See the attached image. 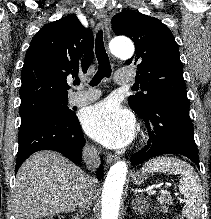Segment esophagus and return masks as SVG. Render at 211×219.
Masks as SVG:
<instances>
[{"mask_svg": "<svg viewBox=\"0 0 211 219\" xmlns=\"http://www.w3.org/2000/svg\"><path fill=\"white\" fill-rule=\"evenodd\" d=\"M97 18L102 22V24L105 27V34L106 37L109 38L110 33H109V27H108V16H107V12L105 9H98L96 12ZM117 156L113 155V154H109L106 158V163L107 164H111L114 161L117 160Z\"/></svg>", "mask_w": 211, "mask_h": 219, "instance_id": "34e87169", "label": "esophagus"}]
</instances>
